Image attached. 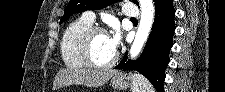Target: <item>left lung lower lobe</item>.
Here are the masks:
<instances>
[{"instance_id":"0a47b994","label":"left lung lower lobe","mask_w":225,"mask_h":92,"mask_svg":"<svg viewBox=\"0 0 225 92\" xmlns=\"http://www.w3.org/2000/svg\"><path fill=\"white\" fill-rule=\"evenodd\" d=\"M175 10L173 0L155 2V21L147 44L136 61L128 60L127 53L115 69L135 70L143 74L158 92H164L165 70L173 46Z\"/></svg>"}]
</instances>
